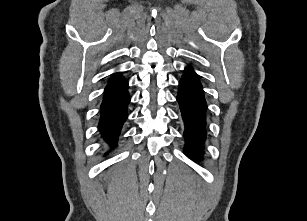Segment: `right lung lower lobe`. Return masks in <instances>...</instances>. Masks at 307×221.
<instances>
[{
	"label": "right lung lower lobe",
	"mask_w": 307,
	"mask_h": 221,
	"mask_svg": "<svg viewBox=\"0 0 307 221\" xmlns=\"http://www.w3.org/2000/svg\"><path fill=\"white\" fill-rule=\"evenodd\" d=\"M128 82L105 88L101 104L99 131L105 141L112 147L116 146L122 124L127 118V106L130 101Z\"/></svg>",
	"instance_id": "1"
}]
</instances>
